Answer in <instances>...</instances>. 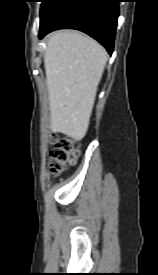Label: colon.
I'll list each match as a JSON object with an SVG mask.
<instances>
[{"label": "colon", "instance_id": "obj_1", "mask_svg": "<svg viewBox=\"0 0 158 275\" xmlns=\"http://www.w3.org/2000/svg\"><path fill=\"white\" fill-rule=\"evenodd\" d=\"M53 149L50 153V172L61 174L69 165H73L79 156V149L71 136L52 139Z\"/></svg>", "mask_w": 158, "mask_h": 275}]
</instances>
